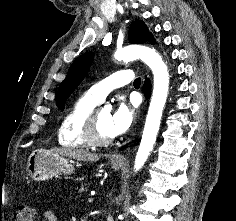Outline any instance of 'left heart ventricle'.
Listing matches in <instances>:
<instances>
[{"instance_id": "b2bd125f", "label": "left heart ventricle", "mask_w": 236, "mask_h": 221, "mask_svg": "<svg viewBox=\"0 0 236 221\" xmlns=\"http://www.w3.org/2000/svg\"><path fill=\"white\" fill-rule=\"evenodd\" d=\"M110 113L101 109L98 112V130L102 137H112L109 130Z\"/></svg>"}]
</instances>
